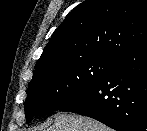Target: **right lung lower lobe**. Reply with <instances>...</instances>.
Masks as SVG:
<instances>
[{
  "label": "right lung lower lobe",
  "mask_w": 147,
  "mask_h": 131,
  "mask_svg": "<svg viewBox=\"0 0 147 131\" xmlns=\"http://www.w3.org/2000/svg\"><path fill=\"white\" fill-rule=\"evenodd\" d=\"M60 111L116 131H147V41L119 57L96 85Z\"/></svg>",
  "instance_id": "obj_1"
}]
</instances>
